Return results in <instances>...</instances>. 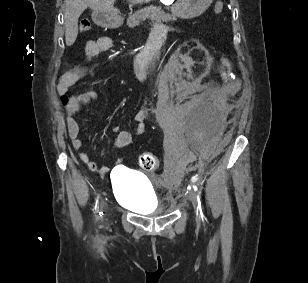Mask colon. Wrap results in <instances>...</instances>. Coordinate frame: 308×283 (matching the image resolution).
Wrapping results in <instances>:
<instances>
[{
  "mask_svg": "<svg viewBox=\"0 0 308 283\" xmlns=\"http://www.w3.org/2000/svg\"><path fill=\"white\" fill-rule=\"evenodd\" d=\"M224 9V5L221 1L216 2L214 6V12L216 14H220ZM91 28V24L88 20H82L80 22V30L81 32H87ZM232 72V60L229 56H226L221 61V66L219 70L220 78L223 81L228 80ZM62 100L65 104H68L70 98L63 94ZM139 164L140 166L147 171L154 170L158 167L159 161L155 155L149 152L142 153L139 157Z\"/></svg>",
  "mask_w": 308,
  "mask_h": 283,
  "instance_id": "colon-1",
  "label": "colon"
}]
</instances>
